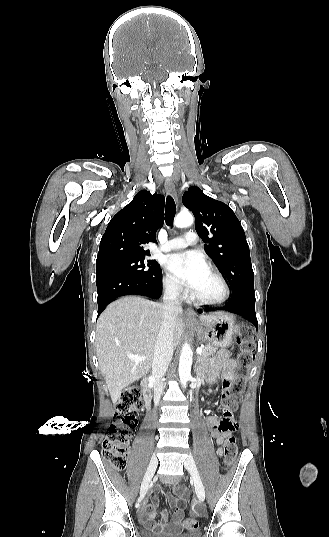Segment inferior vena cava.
I'll return each instance as SVG.
<instances>
[{
  "label": "inferior vena cava",
  "mask_w": 329,
  "mask_h": 537,
  "mask_svg": "<svg viewBox=\"0 0 329 537\" xmlns=\"http://www.w3.org/2000/svg\"><path fill=\"white\" fill-rule=\"evenodd\" d=\"M163 314L159 333L155 342L152 363V377L154 383V404H159L165 389L162 381L173 356V333L176 317L182 312L179 300L178 286L172 285L165 290L163 296Z\"/></svg>",
  "instance_id": "obj_1"
}]
</instances>
